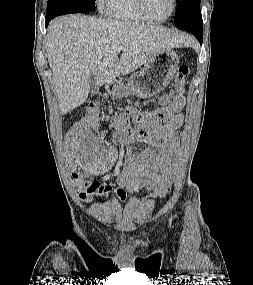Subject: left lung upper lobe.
I'll return each mask as SVG.
<instances>
[{
	"mask_svg": "<svg viewBox=\"0 0 253 285\" xmlns=\"http://www.w3.org/2000/svg\"><path fill=\"white\" fill-rule=\"evenodd\" d=\"M199 14H201L200 0H177L175 25H180Z\"/></svg>",
	"mask_w": 253,
	"mask_h": 285,
	"instance_id": "obj_1",
	"label": "left lung upper lobe"
}]
</instances>
